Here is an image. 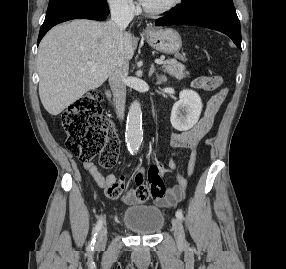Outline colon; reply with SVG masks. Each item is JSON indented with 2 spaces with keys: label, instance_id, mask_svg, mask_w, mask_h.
I'll return each instance as SVG.
<instances>
[{
  "label": "colon",
  "instance_id": "5ec220e1",
  "mask_svg": "<svg viewBox=\"0 0 286 269\" xmlns=\"http://www.w3.org/2000/svg\"><path fill=\"white\" fill-rule=\"evenodd\" d=\"M186 49H177V59L190 62L186 57ZM216 78H194L193 88L209 91L208 100H204L202 110H221V105L227 96L225 83L220 76ZM223 88V89H222ZM101 96L92 91L75 100L62 114V125L67 135L66 148L78 160L89 162L99 156L103 168L115 166L120 141L115 132L113 123L101 113ZM161 159V154H156ZM146 174H137L134 178L136 196L143 201L152 196L162 197L165 194L163 176L166 163H147ZM124 180H117L106 190L111 199L120 198L126 191Z\"/></svg>",
  "mask_w": 286,
  "mask_h": 269
}]
</instances>
